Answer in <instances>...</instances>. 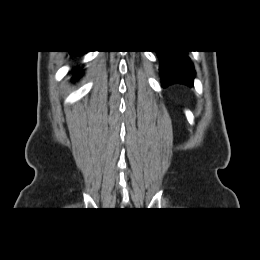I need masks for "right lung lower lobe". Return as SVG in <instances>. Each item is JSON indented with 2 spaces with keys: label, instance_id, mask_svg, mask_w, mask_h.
Listing matches in <instances>:
<instances>
[{
  "label": "right lung lower lobe",
  "instance_id": "right-lung-lower-lobe-1",
  "mask_svg": "<svg viewBox=\"0 0 260 260\" xmlns=\"http://www.w3.org/2000/svg\"><path fill=\"white\" fill-rule=\"evenodd\" d=\"M85 53V51H70V55H80ZM75 76H78V74H76Z\"/></svg>",
  "mask_w": 260,
  "mask_h": 260
}]
</instances>
